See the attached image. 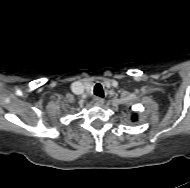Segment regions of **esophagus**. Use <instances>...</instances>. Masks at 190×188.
Returning <instances> with one entry per match:
<instances>
[{
    "label": "esophagus",
    "mask_w": 190,
    "mask_h": 188,
    "mask_svg": "<svg viewBox=\"0 0 190 188\" xmlns=\"http://www.w3.org/2000/svg\"><path fill=\"white\" fill-rule=\"evenodd\" d=\"M93 103L97 106H102L105 103V100L103 98L96 97L94 98Z\"/></svg>",
    "instance_id": "obj_1"
}]
</instances>
